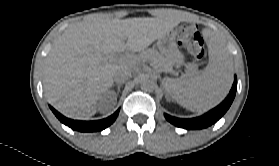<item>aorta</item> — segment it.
I'll return each mask as SVG.
<instances>
[{"instance_id": "aorta-1", "label": "aorta", "mask_w": 279, "mask_h": 166, "mask_svg": "<svg viewBox=\"0 0 279 166\" xmlns=\"http://www.w3.org/2000/svg\"><path fill=\"white\" fill-rule=\"evenodd\" d=\"M154 88V83L149 78H144L141 81V89L144 91H152Z\"/></svg>"}]
</instances>
